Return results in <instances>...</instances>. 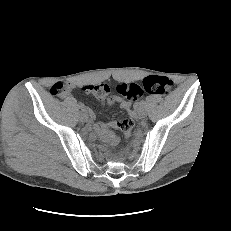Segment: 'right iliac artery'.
Segmentation results:
<instances>
[{
  "mask_svg": "<svg viewBox=\"0 0 231 231\" xmlns=\"http://www.w3.org/2000/svg\"><path fill=\"white\" fill-rule=\"evenodd\" d=\"M78 107L81 109V110H85V105L83 103H79Z\"/></svg>",
  "mask_w": 231,
  "mask_h": 231,
  "instance_id": "right-iliac-artery-1",
  "label": "right iliac artery"
}]
</instances>
